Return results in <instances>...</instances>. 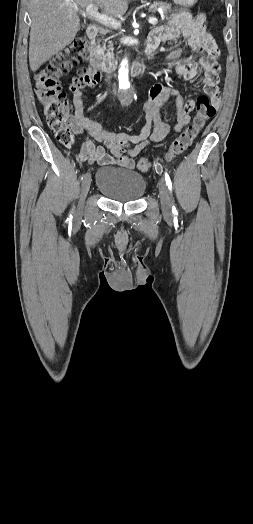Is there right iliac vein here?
I'll use <instances>...</instances> for the list:
<instances>
[{
	"instance_id": "63e3f726",
	"label": "right iliac vein",
	"mask_w": 253,
	"mask_h": 524,
	"mask_svg": "<svg viewBox=\"0 0 253 524\" xmlns=\"http://www.w3.org/2000/svg\"><path fill=\"white\" fill-rule=\"evenodd\" d=\"M90 184H91V175L90 173H87L86 174V177L82 183V187H81V195H80V199H79V203H78V214H81L82 210H83V206H84V202H85V198L88 194V191L90 189Z\"/></svg>"
}]
</instances>
